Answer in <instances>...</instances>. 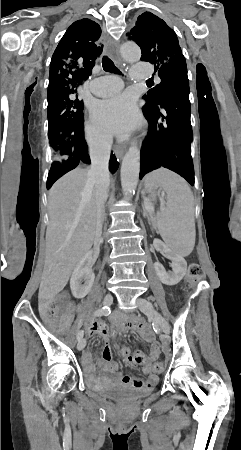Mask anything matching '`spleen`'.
<instances>
[{
  "instance_id": "spleen-1",
  "label": "spleen",
  "mask_w": 241,
  "mask_h": 450,
  "mask_svg": "<svg viewBox=\"0 0 241 450\" xmlns=\"http://www.w3.org/2000/svg\"><path fill=\"white\" fill-rule=\"evenodd\" d=\"M157 188H163L167 194V208L156 214L159 234L174 254L185 258L195 246L194 196L183 178L165 168L145 178L150 198H156Z\"/></svg>"
}]
</instances>
